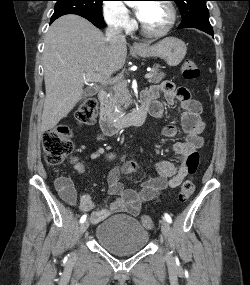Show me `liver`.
Here are the masks:
<instances>
[{"mask_svg": "<svg viewBox=\"0 0 250 285\" xmlns=\"http://www.w3.org/2000/svg\"><path fill=\"white\" fill-rule=\"evenodd\" d=\"M126 43H111L86 19L65 15L57 19L45 37L43 52L44 101L41 131L54 128L84 94V77L108 79L125 64Z\"/></svg>", "mask_w": 250, "mask_h": 285, "instance_id": "1", "label": "liver"}]
</instances>
